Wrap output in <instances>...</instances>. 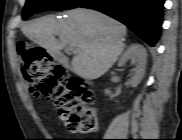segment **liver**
Listing matches in <instances>:
<instances>
[{"instance_id":"1","label":"liver","mask_w":182,"mask_h":140,"mask_svg":"<svg viewBox=\"0 0 182 140\" xmlns=\"http://www.w3.org/2000/svg\"><path fill=\"white\" fill-rule=\"evenodd\" d=\"M66 14V20L60 22L52 15L32 20L22 32L51 54H57L62 44L72 45L76 48L73 71L85 79L101 77L123 52L126 27L91 9L76 8Z\"/></svg>"}]
</instances>
